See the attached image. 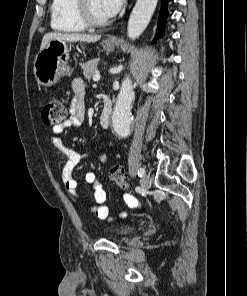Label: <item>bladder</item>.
<instances>
[{"label":"bladder","mask_w":247,"mask_h":296,"mask_svg":"<svg viewBox=\"0 0 247 296\" xmlns=\"http://www.w3.org/2000/svg\"><path fill=\"white\" fill-rule=\"evenodd\" d=\"M134 228H135V226H133V225L121 227V228L114 229V233L118 236H124V235L130 233Z\"/></svg>","instance_id":"obj_1"}]
</instances>
